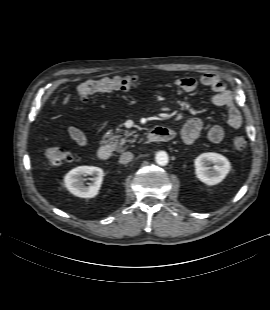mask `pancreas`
Here are the masks:
<instances>
[{
    "label": "pancreas",
    "instance_id": "1",
    "mask_svg": "<svg viewBox=\"0 0 270 310\" xmlns=\"http://www.w3.org/2000/svg\"><path fill=\"white\" fill-rule=\"evenodd\" d=\"M133 134H134L133 131L132 132L128 130L121 131L120 129L117 130L116 134H113L112 132H107L104 135V138L108 140L104 142L108 143L112 150L122 151L125 143L135 142V139H128L130 136H134L135 138L137 137V135Z\"/></svg>",
    "mask_w": 270,
    "mask_h": 310
}]
</instances>
